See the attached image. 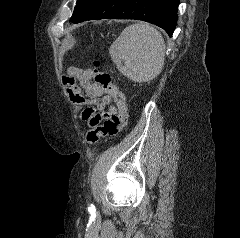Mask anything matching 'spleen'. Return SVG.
<instances>
[{
	"mask_svg": "<svg viewBox=\"0 0 240 238\" xmlns=\"http://www.w3.org/2000/svg\"><path fill=\"white\" fill-rule=\"evenodd\" d=\"M109 53L123 75L135 82H147L162 71L165 42L156 28L140 22L126 27Z\"/></svg>",
	"mask_w": 240,
	"mask_h": 238,
	"instance_id": "obj_1",
	"label": "spleen"
}]
</instances>
